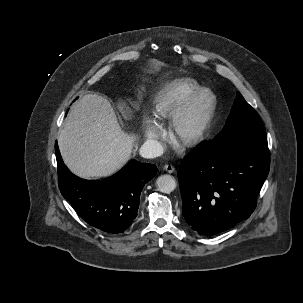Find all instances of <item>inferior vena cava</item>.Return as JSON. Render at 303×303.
I'll return each instance as SVG.
<instances>
[{"label": "inferior vena cava", "mask_w": 303, "mask_h": 303, "mask_svg": "<svg viewBox=\"0 0 303 303\" xmlns=\"http://www.w3.org/2000/svg\"><path fill=\"white\" fill-rule=\"evenodd\" d=\"M163 146L157 140L148 139L141 146L139 152L144 158H156L163 154Z\"/></svg>", "instance_id": "inferior-vena-cava-1"}]
</instances>
